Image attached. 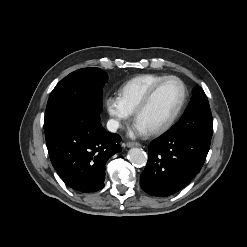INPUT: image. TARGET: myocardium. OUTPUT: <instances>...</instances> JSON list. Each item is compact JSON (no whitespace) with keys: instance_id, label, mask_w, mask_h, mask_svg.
I'll list each match as a JSON object with an SVG mask.
<instances>
[{"instance_id":"1","label":"myocardium","mask_w":247,"mask_h":247,"mask_svg":"<svg viewBox=\"0 0 247 247\" xmlns=\"http://www.w3.org/2000/svg\"><path fill=\"white\" fill-rule=\"evenodd\" d=\"M171 80L177 81L182 87L181 101H180L176 111L173 113V115L164 124H162L161 126L149 131L150 135L156 136V135H161V134L165 133L177 121V119L179 118V116L181 115V113L185 107L187 97H188V89H187L186 84L184 83V81L182 79H180L177 76H166L165 78H163L162 80H160L159 82H157L155 85H153L150 88V90L147 92V94L144 96V98L142 99V101L139 103V105L136 107V109L134 111V119L137 121L138 116L149 106V104L153 100L155 94L160 89V87L163 84H165L166 82L171 81Z\"/></svg>"}]
</instances>
